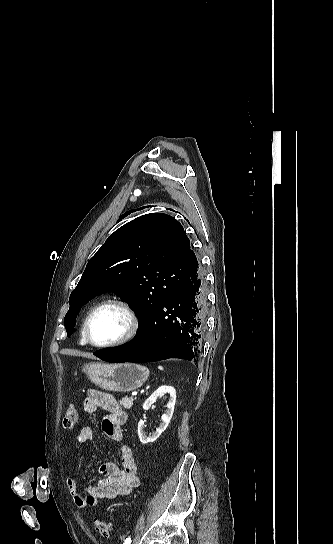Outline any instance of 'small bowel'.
Wrapping results in <instances>:
<instances>
[{
  "mask_svg": "<svg viewBox=\"0 0 333 544\" xmlns=\"http://www.w3.org/2000/svg\"><path fill=\"white\" fill-rule=\"evenodd\" d=\"M83 409L87 414H94L98 409L105 410L108 414L102 421L104 434L120 446L121 466L112 462H104L99 471L104 478L97 480L93 485L87 486L83 491L78 487L73 477L67 479L69 493L78 508L84 509L97 505L104 499H115L129 494L139 486L137 465L132 449L125 443L122 426L127 420V414L118 404L116 399L105 392L90 389L83 403ZM78 442L85 444L93 439V430L89 426H83L78 433Z\"/></svg>",
  "mask_w": 333,
  "mask_h": 544,
  "instance_id": "1",
  "label": "small bowel"
}]
</instances>
